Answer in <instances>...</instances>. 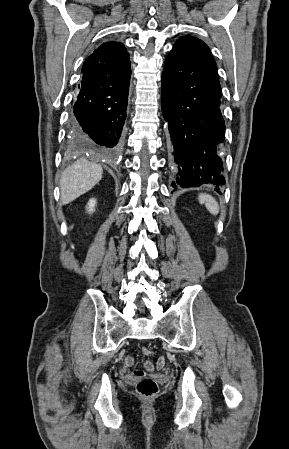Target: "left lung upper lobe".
I'll return each instance as SVG.
<instances>
[{
  "label": "left lung upper lobe",
  "mask_w": 289,
  "mask_h": 449,
  "mask_svg": "<svg viewBox=\"0 0 289 449\" xmlns=\"http://www.w3.org/2000/svg\"><path fill=\"white\" fill-rule=\"evenodd\" d=\"M174 49L202 56V57L206 58L207 60H209L213 65L216 66V63L212 57V54H211L208 46L203 41H201L195 37H191V36L181 37L175 43Z\"/></svg>",
  "instance_id": "5c2ea615"
}]
</instances>
